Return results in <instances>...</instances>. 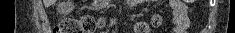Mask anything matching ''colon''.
<instances>
[{"instance_id": "colon-1", "label": "colon", "mask_w": 235, "mask_h": 33, "mask_svg": "<svg viewBox=\"0 0 235 33\" xmlns=\"http://www.w3.org/2000/svg\"><path fill=\"white\" fill-rule=\"evenodd\" d=\"M154 25L161 23V17L156 15L152 20ZM103 26V20L91 15H85L79 18H64L53 30V33H95ZM137 33H148L146 24L141 23L137 26Z\"/></svg>"}]
</instances>
